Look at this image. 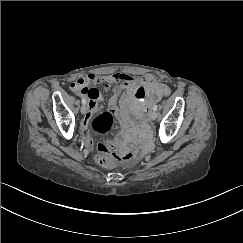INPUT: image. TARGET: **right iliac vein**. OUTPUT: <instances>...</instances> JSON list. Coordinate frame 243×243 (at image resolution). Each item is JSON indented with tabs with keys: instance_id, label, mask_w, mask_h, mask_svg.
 Instances as JSON below:
<instances>
[{
	"instance_id": "right-iliac-vein-1",
	"label": "right iliac vein",
	"mask_w": 243,
	"mask_h": 243,
	"mask_svg": "<svg viewBox=\"0 0 243 243\" xmlns=\"http://www.w3.org/2000/svg\"><path fill=\"white\" fill-rule=\"evenodd\" d=\"M86 111H87V108H86V106L83 104V105L81 106V113H82V114H85Z\"/></svg>"
}]
</instances>
